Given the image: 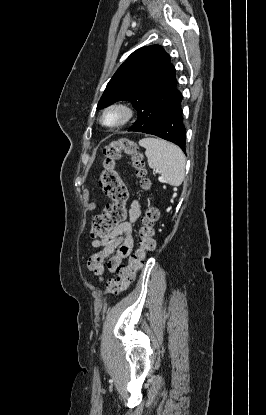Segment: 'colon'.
Listing matches in <instances>:
<instances>
[{
    "label": "colon",
    "mask_w": 266,
    "mask_h": 415,
    "mask_svg": "<svg viewBox=\"0 0 266 415\" xmlns=\"http://www.w3.org/2000/svg\"><path fill=\"white\" fill-rule=\"evenodd\" d=\"M125 154L130 159V166L134 174L140 179L143 189H148L150 183L145 177L143 156L137 143L128 138H120L112 141L103 149V170L99 184L104 194L110 198L104 212L93 218L91 223V235L94 238H107L117 225L124 222L127 216L126 202L128 190L116 169V162ZM159 218L157 208L150 206L141 218L139 229L138 248L131 255L127 265H122L117 270V276L110 279L105 287V293L118 294L125 291L136 279L137 272L144 264L146 255L155 247L154 225Z\"/></svg>",
    "instance_id": "1"
}]
</instances>
